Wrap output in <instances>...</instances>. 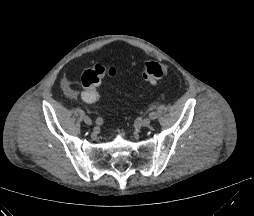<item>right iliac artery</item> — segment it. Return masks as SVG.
Segmentation results:
<instances>
[{"instance_id":"obj_1","label":"right iliac artery","mask_w":254,"mask_h":216,"mask_svg":"<svg viewBox=\"0 0 254 216\" xmlns=\"http://www.w3.org/2000/svg\"><path fill=\"white\" fill-rule=\"evenodd\" d=\"M95 123L97 125H101L103 123V119L101 117L96 118Z\"/></svg>"}]
</instances>
